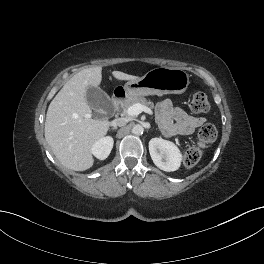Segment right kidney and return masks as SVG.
Returning <instances> with one entry per match:
<instances>
[{"label": "right kidney", "instance_id": "right-kidney-1", "mask_svg": "<svg viewBox=\"0 0 264 264\" xmlns=\"http://www.w3.org/2000/svg\"><path fill=\"white\" fill-rule=\"evenodd\" d=\"M113 144V138L110 136L100 138L93 144L91 152L96 158L104 160L109 156Z\"/></svg>", "mask_w": 264, "mask_h": 264}]
</instances>
